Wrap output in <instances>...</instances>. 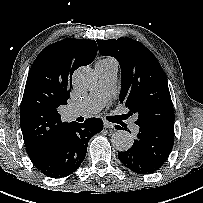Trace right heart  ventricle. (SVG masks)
I'll use <instances>...</instances> for the list:
<instances>
[{"mask_svg":"<svg viewBox=\"0 0 203 203\" xmlns=\"http://www.w3.org/2000/svg\"><path fill=\"white\" fill-rule=\"evenodd\" d=\"M100 62L106 63V64H110V65H115L116 66V62L115 60L111 59V58H105L100 60Z\"/></svg>","mask_w":203,"mask_h":203,"instance_id":"right-heart-ventricle-1","label":"right heart ventricle"}]
</instances>
